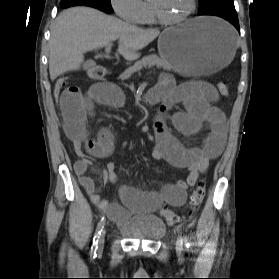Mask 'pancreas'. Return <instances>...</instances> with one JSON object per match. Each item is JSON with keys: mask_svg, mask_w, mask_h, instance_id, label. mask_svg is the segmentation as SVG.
I'll return each instance as SVG.
<instances>
[{"mask_svg": "<svg viewBox=\"0 0 279 279\" xmlns=\"http://www.w3.org/2000/svg\"><path fill=\"white\" fill-rule=\"evenodd\" d=\"M153 65H156V66L161 67L168 71L173 69L172 65H170L166 60L158 57L155 54H152V55H148V56L144 57L142 60L136 62L132 67H129L128 69H126L119 76V79L126 80V79L130 78L134 72L141 69L142 67H151Z\"/></svg>", "mask_w": 279, "mask_h": 279, "instance_id": "pancreas-1", "label": "pancreas"}]
</instances>
